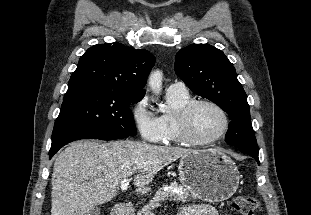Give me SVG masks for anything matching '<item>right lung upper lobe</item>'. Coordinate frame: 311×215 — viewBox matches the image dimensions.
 Masks as SVG:
<instances>
[{
	"label": "right lung upper lobe",
	"instance_id": "right-lung-upper-lobe-1",
	"mask_svg": "<svg viewBox=\"0 0 311 215\" xmlns=\"http://www.w3.org/2000/svg\"><path fill=\"white\" fill-rule=\"evenodd\" d=\"M154 63L155 57L147 50L121 43L97 44L81 56L68 86L89 85L144 95Z\"/></svg>",
	"mask_w": 311,
	"mask_h": 215
}]
</instances>
